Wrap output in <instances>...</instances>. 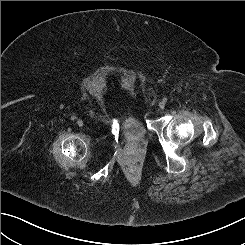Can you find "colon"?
<instances>
[{"instance_id":"5ec220e1","label":"colon","mask_w":245,"mask_h":245,"mask_svg":"<svg viewBox=\"0 0 245 245\" xmlns=\"http://www.w3.org/2000/svg\"><path fill=\"white\" fill-rule=\"evenodd\" d=\"M135 170V167L133 165L129 166V171L133 172Z\"/></svg>"}]
</instances>
